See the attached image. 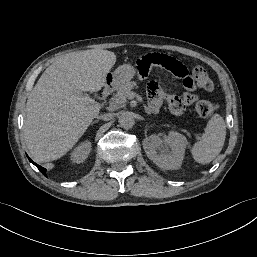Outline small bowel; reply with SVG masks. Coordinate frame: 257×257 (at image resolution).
<instances>
[{
  "mask_svg": "<svg viewBox=\"0 0 257 257\" xmlns=\"http://www.w3.org/2000/svg\"><path fill=\"white\" fill-rule=\"evenodd\" d=\"M133 69L140 76L158 74L169 80H183V89L186 92L181 96H176L175 91L165 85H149L148 108L151 113H157L161 103L166 102L174 115H181L196 101V96L192 93L195 88L194 78L176 57L159 52L146 53L135 58Z\"/></svg>",
  "mask_w": 257,
  "mask_h": 257,
  "instance_id": "obj_1",
  "label": "small bowel"
}]
</instances>
